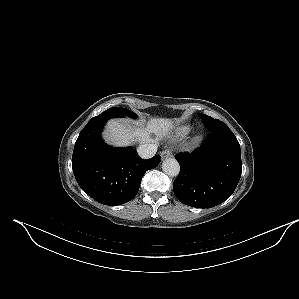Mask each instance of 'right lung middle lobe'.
I'll return each mask as SVG.
<instances>
[{
	"label": "right lung middle lobe",
	"instance_id": "1",
	"mask_svg": "<svg viewBox=\"0 0 299 299\" xmlns=\"http://www.w3.org/2000/svg\"><path fill=\"white\" fill-rule=\"evenodd\" d=\"M104 112L113 113L119 117H124V116L131 117V118L137 117V115L134 112H132L131 110L121 108V107H113V108L107 109Z\"/></svg>",
	"mask_w": 299,
	"mask_h": 299
}]
</instances>
